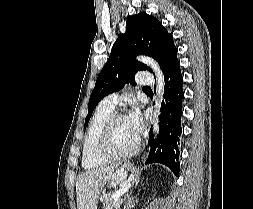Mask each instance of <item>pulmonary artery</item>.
Instances as JSON below:
<instances>
[{"mask_svg":"<svg viewBox=\"0 0 253 209\" xmlns=\"http://www.w3.org/2000/svg\"><path fill=\"white\" fill-rule=\"evenodd\" d=\"M138 84H146L147 87H151L155 84L153 76L147 71H140L137 75ZM119 95L118 93H112L103 99V103L111 108H114L118 103Z\"/></svg>","mask_w":253,"mask_h":209,"instance_id":"pulmonary-artery-1","label":"pulmonary artery"}]
</instances>
